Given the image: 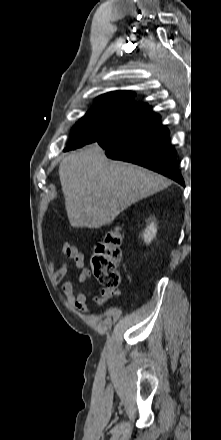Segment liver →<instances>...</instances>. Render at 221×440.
<instances>
[{"mask_svg": "<svg viewBox=\"0 0 221 440\" xmlns=\"http://www.w3.org/2000/svg\"><path fill=\"white\" fill-rule=\"evenodd\" d=\"M59 178L70 225L90 229L112 223L130 205L171 184L142 167L109 161L96 143L65 157Z\"/></svg>", "mask_w": 221, "mask_h": 440, "instance_id": "6515ba94", "label": "liver"}]
</instances>
